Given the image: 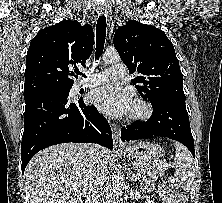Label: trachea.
I'll return each mask as SVG.
<instances>
[{
    "label": "trachea",
    "mask_w": 222,
    "mask_h": 203,
    "mask_svg": "<svg viewBox=\"0 0 222 203\" xmlns=\"http://www.w3.org/2000/svg\"><path fill=\"white\" fill-rule=\"evenodd\" d=\"M106 27H107L106 17L104 15L99 16L96 25V53H95L96 60H99L104 49ZM78 74L83 75V77L86 78L85 74H82L81 72H78Z\"/></svg>",
    "instance_id": "obj_1"
}]
</instances>
